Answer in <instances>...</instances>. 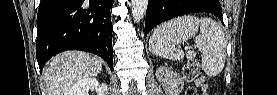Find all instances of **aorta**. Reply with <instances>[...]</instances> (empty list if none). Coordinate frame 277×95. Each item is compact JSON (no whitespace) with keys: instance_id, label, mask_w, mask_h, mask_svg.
<instances>
[{"instance_id":"aorta-1","label":"aorta","mask_w":277,"mask_h":95,"mask_svg":"<svg viewBox=\"0 0 277 95\" xmlns=\"http://www.w3.org/2000/svg\"><path fill=\"white\" fill-rule=\"evenodd\" d=\"M131 5H132V18L134 22H140L147 10L148 6V0H131Z\"/></svg>"}]
</instances>
